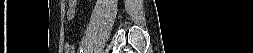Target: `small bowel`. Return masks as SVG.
Instances as JSON below:
<instances>
[{
	"label": "small bowel",
	"instance_id": "1",
	"mask_svg": "<svg viewBox=\"0 0 253 53\" xmlns=\"http://www.w3.org/2000/svg\"><path fill=\"white\" fill-rule=\"evenodd\" d=\"M69 2V9H68V19L73 22L76 17V1L75 0H70ZM65 51L67 53H75V45L72 42H65L64 44Z\"/></svg>",
	"mask_w": 253,
	"mask_h": 53
}]
</instances>
